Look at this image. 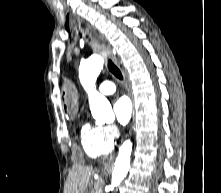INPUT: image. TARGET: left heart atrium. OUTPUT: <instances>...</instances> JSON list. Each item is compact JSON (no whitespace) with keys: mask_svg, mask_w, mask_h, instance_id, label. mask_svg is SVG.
Listing matches in <instances>:
<instances>
[{"mask_svg":"<svg viewBox=\"0 0 221 193\" xmlns=\"http://www.w3.org/2000/svg\"><path fill=\"white\" fill-rule=\"evenodd\" d=\"M113 110L117 121L126 125L132 116L133 108L130 99L127 96L118 97L114 104Z\"/></svg>","mask_w":221,"mask_h":193,"instance_id":"39dd6f15","label":"left heart atrium"}]
</instances>
